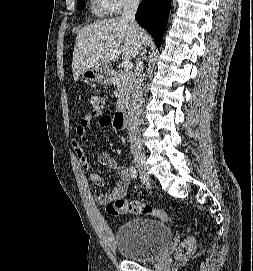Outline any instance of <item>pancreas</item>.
Masks as SVG:
<instances>
[{
    "instance_id": "cf45deb5",
    "label": "pancreas",
    "mask_w": 253,
    "mask_h": 271,
    "mask_svg": "<svg viewBox=\"0 0 253 271\" xmlns=\"http://www.w3.org/2000/svg\"><path fill=\"white\" fill-rule=\"evenodd\" d=\"M134 80L135 75L132 71L111 72V83L117 87L118 92L117 109H123L127 106Z\"/></svg>"
}]
</instances>
